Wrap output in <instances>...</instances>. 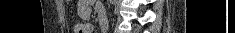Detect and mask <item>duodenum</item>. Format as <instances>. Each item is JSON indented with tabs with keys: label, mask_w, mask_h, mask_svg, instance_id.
<instances>
[{
	"label": "duodenum",
	"mask_w": 235,
	"mask_h": 33,
	"mask_svg": "<svg viewBox=\"0 0 235 33\" xmlns=\"http://www.w3.org/2000/svg\"><path fill=\"white\" fill-rule=\"evenodd\" d=\"M99 24H100L101 30L105 31L107 28V19L103 13L99 15Z\"/></svg>",
	"instance_id": "410a0bca"
}]
</instances>
